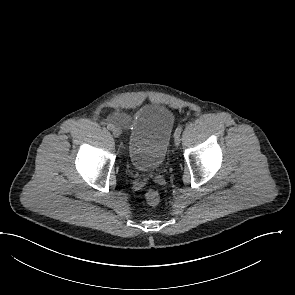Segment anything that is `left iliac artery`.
<instances>
[{
  "label": "left iliac artery",
  "instance_id": "left-iliac-artery-1",
  "mask_svg": "<svg viewBox=\"0 0 295 295\" xmlns=\"http://www.w3.org/2000/svg\"><path fill=\"white\" fill-rule=\"evenodd\" d=\"M182 130H183V129H182V126L177 127V129H176V131H175V135H179V136H180Z\"/></svg>",
  "mask_w": 295,
  "mask_h": 295
}]
</instances>
